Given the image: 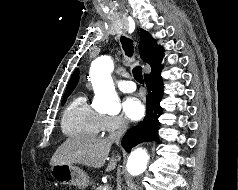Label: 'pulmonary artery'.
Here are the masks:
<instances>
[{"instance_id": "pulmonary-artery-1", "label": "pulmonary artery", "mask_w": 238, "mask_h": 190, "mask_svg": "<svg viewBox=\"0 0 238 190\" xmlns=\"http://www.w3.org/2000/svg\"><path fill=\"white\" fill-rule=\"evenodd\" d=\"M117 86L122 92H125V93L133 92L136 89L134 82L129 80H119L117 82Z\"/></svg>"}]
</instances>
